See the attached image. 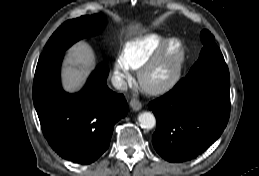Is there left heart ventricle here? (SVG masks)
Segmentation results:
<instances>
[{
	"label": "left heart ventricle",
	"instance_id": "left-heart-ventricle-1",
	"mask_svg": "<svg viewBox=\"0 0 259 176\" xmlns=\"http://www.w3.org/2000/svg\"><path fill=\"white\" fill-rule=\"evenodd\" d=\"M173 49L174 47H172L166 58L153 70L150 75L151 80L160 81L170 75L174 63Z\"/></svg>",
	"mask_w": 259,
	"mask_h": 176
}]
</instances>
